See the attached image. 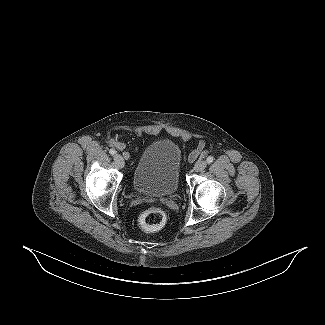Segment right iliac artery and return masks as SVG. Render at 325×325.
Returning a JSON list of instances; mask_svg holds the SVG:
<instances>
[{
  "instance_id": "right-iliac-artery-1",
  "label": "right iliac artery",
  "mask_w": 325,
  "mask_h": 325,
  "mask_svg": "<svg viewBox=\"0 0 325 325\" xmlns=\"http://www.w3.org/2000/svg\"><path fill=\"white\" fill-rule=\"evenodd\" d=\"M109 153H110L111 155H115V154H116V151H115L114 149H110V150H109Z\"/></svg>"
}]
</instances>
